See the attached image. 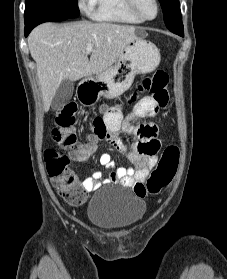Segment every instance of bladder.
<instances>
[{
  "label": "bladder",
  "mask_w": 227,
  "mask_h": 279,
  "mask_svg": "<svg viewBox=\"0 0 227 279\" xmlns=\"http://www.w3.org/2000/svg\"><path fill=\"white\" fill-rule=\"evenodd\" d=\"M145 208L144 202L128 188L112 186L93 196L87 218L105 230H127L141 220Z\"/></svg>",
  "instance_id": "31cf9c89"
}]
</instances>
